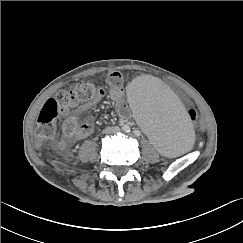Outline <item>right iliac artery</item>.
<instances>
[{
    "instance_id": "obj_1",
    "label": "right iliac artery",
    "mask_w": 243,
    "mask_h": 243,
    "mask_svg": "<svg viewBox=\"0 0 243 243\" xmlns=\"http://www.w3.org/2000/svg\"><path fill=\"white\" fill-rule=\"evenodd\" d=\"M123 130H124L125 132H130V127H129L128 125H124V126H123Z\"/></svg>"
}]
</instances>
